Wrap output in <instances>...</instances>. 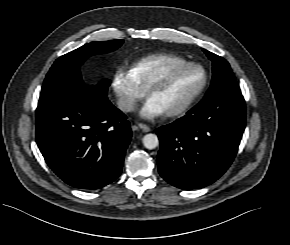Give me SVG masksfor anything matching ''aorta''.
<instances>
[{
  "instance_id": "aorta-1",
  "label": "aorta",
  "mask_w": 290,
  "mask_h": 245,
  "mask_svg": "<svg viewBox=\"0 0 290 245\" xmlns=\"http://www.w3.org/2000/svg\"><path fill=\"white\" fill-rule=\"evenodd\" d=\"M143 145L147 148V149H155L158 145H159V139L157 137L156 134H146L143 137Z\"/></svg>"
}]
</instances>
